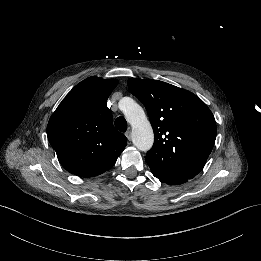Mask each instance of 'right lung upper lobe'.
<instances>
[{"label":"right lung upper lobe","mask_w":261,"mask_h":261,"mask_svg":"<svg viewBox=\"0 0 261 261\" xmlns=\"http://www.w3.org/2000/svg\"><path fill=\"white\" fill-rule=\"evenodd\" d=\"M116 79L89 77L77 84L60 103L47 126L48 140L62 166L80 177L110 169L127 145L113 126L107 99Z\"/></svg>","instance_id":"obj_1"}]
</instances>
